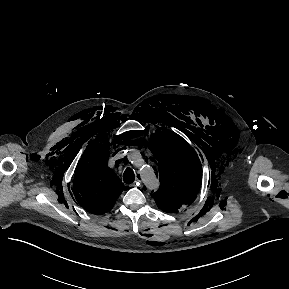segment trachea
<instances>
[{"label":"trachea","instance_id":"trachea-1","mask_svg":"<svg viewBox=\"0 0 289 289\" xmlns=\"http://www.w3.org/2000/svg\"><path fill=\"white\" fill-rule=\"evenodd\" d=\"M135 175L131 168H127L123 174V180L126 184H131L134 182Z\"/></svg>","mask_w":289,"mask_h":289}]
</instances>
